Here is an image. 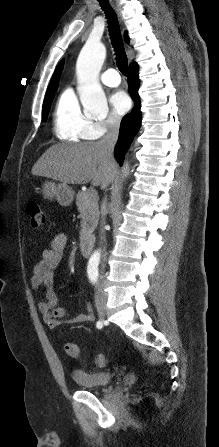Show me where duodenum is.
Masks as SVG:
<instances>
[{
    "mask_svg": "<svg viewBox=\"0 0 219 447\" xmlns=\"http://www.w3.org/2000/svg\"><path fill=\"white\" fill-rule=\"evenodd\" d=\"M93 241L91 238L87 237L82 239L80 243V249L84 256H89L92 250Z\"/></svg>",
    "mask_w": 219,
    "mask_h": 447,
    "instance_id": "1",
    "label": "duodenum"
}]
</instances>
